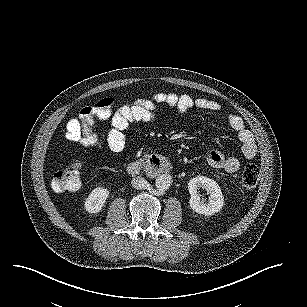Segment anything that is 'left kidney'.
Segmentation results:
<instances>
[{"label":"left kidney","instance_id":"left-kidney-1","mask_svg":"<svg viewBox=\"0 0 307 307\" xmlns=\"http://www.w3.org/2000/svg\"><path fill=\"white\" fill-rule=\"evenodd\" d=\"M203 188L206 194L209 195L208 199L201 198L199 189ZM190 193V206L198 213L211 215L218 212L224 203L223 195L219 185L212 179L198 176L192 178L188 183Z\"/></svg>","mask_w":307,"mask_h":307}]
</instances>
